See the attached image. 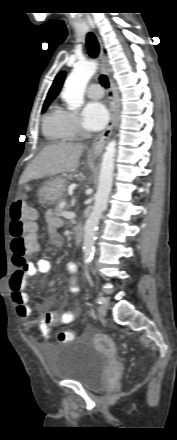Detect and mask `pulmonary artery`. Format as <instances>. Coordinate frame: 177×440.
<instances>
[{
  "instance_id": "e3ab8cb5",
  "label": "pulmonary artery",
  "mask_w": 177,
  "mask_h": 440,
  "mask_svg": "<svg viewBox=\"0 0 177 440\" xmlns=\"http://www.w3.org/2000/svg\"><path fill=\"white\" fill-rule=\"evenodd\" d=\"M87 95L92 99H100L104 95V90L100 84H91L87 90Z\"/></svg>"
}]
</instances>
